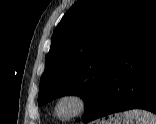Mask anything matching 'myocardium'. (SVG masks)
Listing matches in <instances>:
<instances>
[{
  "instance_id": "obj_1",
  "label": "myocardium",
  "mask_w": 156,
  "mask_h": 124,
  "mask_svg": "<svg viewBox=\"0 0 156 124\" xmlns=\"http://www.w3.org/2000/svg\"><path fill=\"white\" fill-rule=\"evenodd\" d=\"M67 98H73L78 102L79 105L78 110L71 115H60L57 111V107L61 101ZM90 108H91V98L89 97V95L81 90L76 89L66 90L60 93L54 99L51 107L53 115L62 121L77 120L86 115L90 111Z\"/></svg>"
}]
</instances>
